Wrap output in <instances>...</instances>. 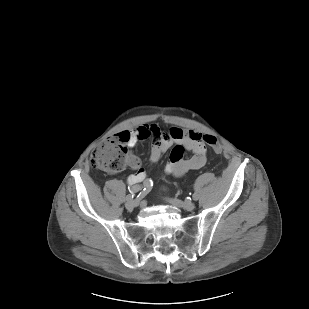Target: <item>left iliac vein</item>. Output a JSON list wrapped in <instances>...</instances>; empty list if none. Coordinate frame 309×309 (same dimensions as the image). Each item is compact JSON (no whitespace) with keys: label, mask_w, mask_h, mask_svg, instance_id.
<instances>
[{"label":"left iliac vein","mask_w":309,"mask_h":309,"mask_svg":"<svg viewBox=\"0 0 309 309\" xmlns=\"http://www.w3.org/2000/svg\"><path fill=\"white\" fill-rule=\"evenodd\" d=\"M169 202L177 208H183L187 211H192L195 208V204L191 201L182 202L178 199H169Z\"/></svg>","instance_id":"left-iliac-vein-1"}]
</instances>
